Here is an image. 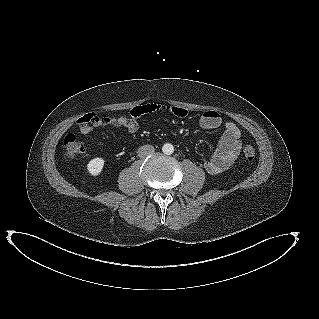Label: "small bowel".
<instances>
[{
  "mask_svg": "<svg viewBox=\"0 0 319 319\" xmlns=\"http://www.w3.org/2000/svg\"><path fill=\"white\" fill-rule=\"evenodd\" d=\"M164 110L178 118H185L189 113L186 108L180 106L163 107L155 103H146L133 107L128 115L99 117L94 114L91 122L78 125V127L84 135L104 126L124 128L129 133H135L139 128L138 119L140 117ZM199 125L202 129L214 130L222 125V118L216 111H207L200 117ZM240 138L241 131L238 126L233 122H225L219 145L212 157L205 162L206 171L211 174H219L230 169L240 153Z\"/></svg>",
  "mask_w": 319,
  "mask_h": 319,
  "instance_id": "1",
  "label": "small bowel"
}]
</instances>
